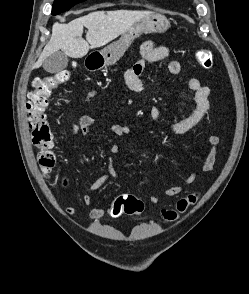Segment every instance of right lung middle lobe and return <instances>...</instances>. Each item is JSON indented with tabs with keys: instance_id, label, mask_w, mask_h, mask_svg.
I'll list each match as a JSON object with an SVG mask.
<instances>
[{
	"instance_id": "dd1d6c3e",
	"label": "right lung middle lobe",
	"mask_w": 249,
	"mask_h": 294,
	"mask_svg": "<svg viewBox=\"0 0 249 294\" xmlns=\"http://www.w3.org/2000/svg\"><path fill=\"white\" fill-rule=\"evenodd\" d=\"M85 0H55L52 6V15H58L61 12L69 10L72 6Z\"/></svg>"
}]
</instances>
